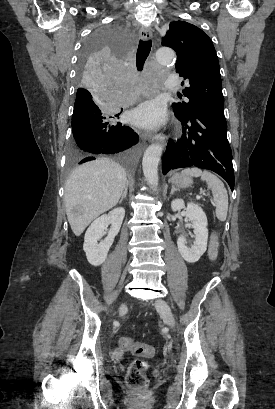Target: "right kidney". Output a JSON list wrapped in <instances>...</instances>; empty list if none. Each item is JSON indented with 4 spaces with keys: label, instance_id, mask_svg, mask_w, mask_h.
Masks as SVG:
<instances>
[{
    "label": "right kidney",
    "instance_id": "obj_1",
    "mask_svg": "<svg viewBox=\"0 0 275 409\" xmlns=\"http://www.w3.org/2000/svg\"><path fill=\"white\" fill-rule=\"evenodd\" d=\"M124 215L125 209H123V207H118V209H113V211H110L108 215L98 217L96 221H93L89 229H87L84 237L83 249L86 253V259L90 265L99 267V265L105 263L108 257V251L114 241V237H116L120 231ZM107 225H111V229H109L106 239L101 241V243H98Z\"/></svg>",
    "mask_w": 275,
    "mask_h": 409
}]
</instances>
